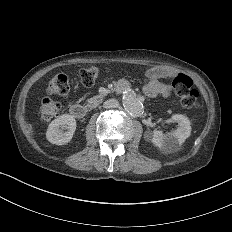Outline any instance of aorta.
<instances>
[{"mask_svg": "<svg viewBox=\"0 0 232 232\" xmlns=\"http://www.w3.org/2000/svg\"><path fill=\"white\" fill-rule=\"evenodd\" d=\"M123 106L125 110L133 116H139L143 112V104L131 89H126L123 93Z\"/></svg>", "mask_w": 232, "mask_h": 232, "instance_id": "762f6f07", "label": "aorta"}]
</instances>
